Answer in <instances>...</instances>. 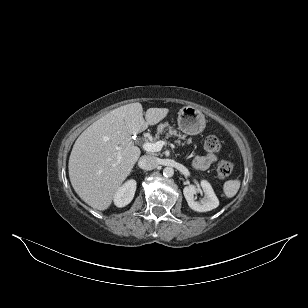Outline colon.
Instances as JSON below:
<instances>
[{
    "label": "colon",
    "instance_id": "colon-1",
    "mask_svg": "<svg viewBox=\"0 0 308 308\" xmlns=\"http://www.w3.org/2000/svg\"><path fill=\"white\" fill-rule=\"evenodd\" d=\"M204 147L210 154L218 153L221 150V141L218 137L210 135L205 139ZM234 171V165L228 160H222L216 167V174L219 179H228Z\"/></svg>",
    "mask_w": 308,
    "mask_h": 308
}]
</instances>
